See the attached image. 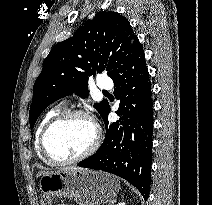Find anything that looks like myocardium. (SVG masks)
I'll use <instances>...</instances> for the list:
<instances>
[{
  "instance_id": "myocardium-1",
  "label": "myocardium",
  "mask_w": 212,
  "mask_h": 205,
  "mask_svg": "<svg viewBox=\"0 0 212 205\" xmlns=\"http://www.w3.org/2000/svg\"><path fill=\"white\" fill-rule=\"evenodd\" d=\"M73 117H82L86 120H88L93 128H94V138L91 142V144L89 145V147L82 152L81 154H79L76 157L70 158V159H60L58 157H56L49 149L48 144H47V139L48 136L51 132V130L57 126L58 124L73 118ZM101 142V134L99 129L97 128V126L95 125V123L92 121L91 117L84 111L82 110H65L60 112L59 114H57L56 116H54L52 119L49 120V122L45 125V127L43 128L41 135H40V139H39V146H40V150L42 152V154L44 155V157L49 160L51 163L53 164H57V165H69V164H74L77 163L79 161H82L86 158H88L89 156H91L99 147Z\"/></svg>"
}]
</instances>
